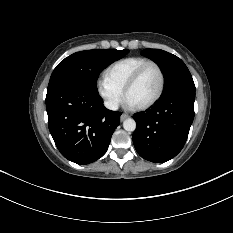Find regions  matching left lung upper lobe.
<instances>
[{
    "instance_id": "1",
    "label": "left lung upper lobe",
    "mask_w": 233,
    "mask_h": 233,
    "mask_svg": "<svg viewBox=\"0 0 233 233\" xmlns=\"http://www.w3.org/2000/svg\"><path fill=\"white\" fill-rule=\"evenodd\" d=\"M142 55L155 61L164 74L165 86L162 96L176 90L195 91L194 81L188 68L177 56L160 49H145Z\"/></svg>"
}]
</instances>
